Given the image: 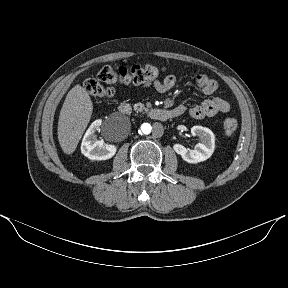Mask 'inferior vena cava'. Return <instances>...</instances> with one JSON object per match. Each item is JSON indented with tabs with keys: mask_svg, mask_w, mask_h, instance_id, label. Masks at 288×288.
<instances>
[{
	"mask_svg": "<svg viewBox=\"0 0 288 288\" xmlns=\"http://www.w3.org/2000/svg\"><path fill=\"white\" fill-rule=\"evenodd\" d=\"M152 128L153 130L151 131V136L154 139H160L163 133V126L161 125V123L159 121H154L152 123Z\"/></svg>",
	"mask_w": 288,
	"mask_h": 288,
	"instance_id": "602c4592",
	"label": "inferior vena cava"
}]
</instances>
